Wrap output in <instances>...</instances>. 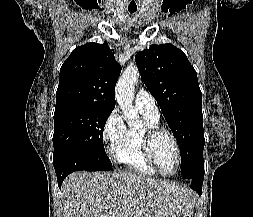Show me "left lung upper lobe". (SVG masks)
<instances>
[{
	"label": "left lung upper lobe",
	"mask_w": 253,
	"mask_h": 217,
	"mask_svg": "<svg viewBox=\"0 0 253 217\" xmlns=\"http://www.w3.org/2000/svg\"><path fill=\"white\" fill-rule=\"evenodd\" d=\"M135 61L178 142L183 178L202 174V94L195 69L184 52L172 44L151 45L137 53Z\"/></svg>",
	"instance_id": "obj_1"
}]
</instances>
